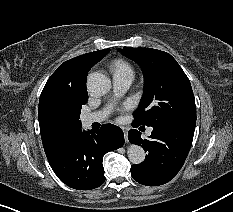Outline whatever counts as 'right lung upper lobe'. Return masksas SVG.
Returning a JSON list of instances; mask_svg holds the SVG:
<instances>
[{
	"label": "right lung upper lobe",
	"mask_w": 233,
	"mask_h": 212,
	"mask_svg": "<svg viewBox=\"0 0 233 212\" xmlns=\"http://www.w3.org/2000/svg\"><path fill=\"white\" fill-rule=\"evenodd\" d=\"M110 49H104L72 58L62 65L48 79L39 100V125L43 147L47 157L55 154L76 130L58 124L51 114L53 105L59 101L88 95L87 73Z\"/></svg>",
	"instance_id": "right-lung-upper-lobe-1"
}]
</instances>
